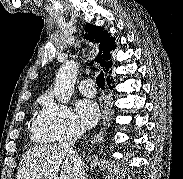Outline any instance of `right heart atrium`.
I'll use <instances>...</instances> for the list:
<instances>
[{
    "label": "right heart atrium",
    "mask_w": 183,
    "mask_h": 179,
    "mask_svg": "<svg viewBox=\"0 0 183 179\" xmlns=\"http://www.w3.org/2000/svg\"><path fill=\"white\" fill-rule=\"evenodd\" d=\"M34 133L43 139L58 141L81 131V126L71 110L51 98L46 99L44 108L34 121Z\"/></svg>",
    "instance_id": "obj_1"
}]
</instances>
